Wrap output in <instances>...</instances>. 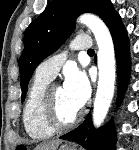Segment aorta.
Masks as SVG:
<instances>
[{"instance_id":"762f6f07","label":"aorta","mask_w":139,"mask_h":150,"mask_svg":"<svg viewBox=\"0 0 139 150\" xmlns=\"http://www.w3.org/2000/svg\"><path fill=\"white\" fill-rule=\"evenodd\" d=\"M94 34L97 45L99 70L97 92L94 100L93 124L101 126L110 108L115 89V51L112 36L105 23L96 15L85 13L79 17Z\"/></svg>"}]
</instances>
